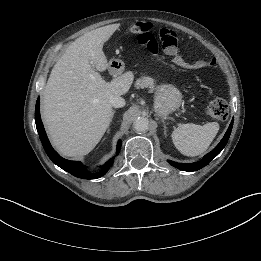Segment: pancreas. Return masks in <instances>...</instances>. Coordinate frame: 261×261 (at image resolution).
Returning <instances> with one entry per match:
<instances>
[{
  "mask_svg": "<svg viewBox=\"0 0 261 261\" xmlns=\"http://www.w3.org/2000/svg\"><path fill=\"white\" fill-rule=\"evenodd\" d=\"M137 88H150V91L155 90V83L154 79L151 77H143L136 82Z\"/></svg>",
  "mask_w": 261,
  "mask_h": 261,
  "instance_id": "cf45deb5",
  "label": "pancreas"
}]
</instances>
